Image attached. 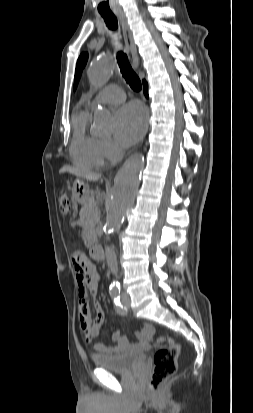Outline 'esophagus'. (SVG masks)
I'll return each instance as SVG.
<instances>
[{"label":"esophagus","instance_id":"1","mask_svg":"<svg viewBox=\"0 0 253 413\" xmlns=\"http://www.w3.org/2000/svg\"><path fill=\"white\" fill-rule=\"evenodd\" d=\"M118 17L120 19L121 25H122V30H123V37H124V42H125V49L126 53L128 56L129 61L132 64V67L134 69L138 68V62L136 58V45L133 39L132 32L130 30V27L128 25L126 16L124 13L119 12Z\"/></svg>","mask_w":253,"mask_h":413}]
</instances>
